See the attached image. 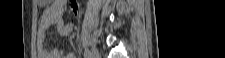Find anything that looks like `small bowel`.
Masks as SVG:
<instances>
[{
    "label": "small bowel",
    "instance_id": "obj_1",
    "mask_svg": "<svg viewBox=\"0 0 225 58\" xmlns=\"http://www.w3.org/2000/svg\"><path fill=\"white\" fill-rule=\"evenodd\" d=\"M66 11L64 0L53 1L42 13L37 32L38 57L39 58H75L72 52L64 53L58 48H49L46 45V38H56L57 36H67L73 31V24L64 25L63 15ZM55 26V33H48L49 29Z\"/></svg>",
    "mask_w": 225,
    "mask_h": 58
}]
</instances>
